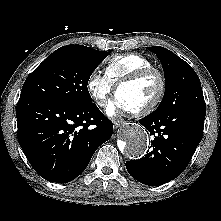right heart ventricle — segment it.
<instances>
[{
	"label": "right heart ventricle",
	"mask_w": 221,
	"mask_h": 221,
	"mask_svg": "<svg viewBox=\"0 0 221 221\" xmlns=\"http://www.w3.org/2000/svg\"><path fill=\"white\" fill-rule=\"evenodd\" d=\"M153 66V62L142 54L125 53L109 59L105 67V75L113 85H116L121 79L132 73Z\"/></svg>",
	"instance_id": "1"
}]
</instances>
